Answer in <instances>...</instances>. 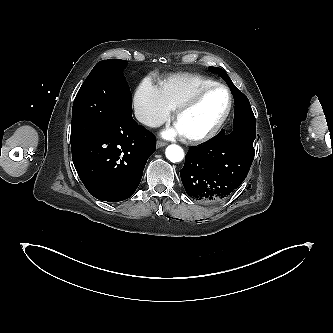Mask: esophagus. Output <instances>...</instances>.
Returning a JSON list of instances; mask_svg holds the SVG:
<instances>
[{
    "label": "esophagus",
    "mask_w": 333,
    "mask_h": 333,
    "mask_svg": "<svg viewBox=\"0 0 333 333\" xmlns=\"http://www.w3.org/2000/svg\"><path fill=\"white\" fill-rule=\"evenodd\" d=\"M167 143L163 142V141H157L156 142V146L157 148H161V147H164L166 146Z\"/></svg>",
    "instance_id": "esophagus-1"
}]
</instances>
